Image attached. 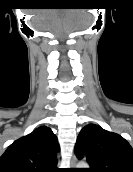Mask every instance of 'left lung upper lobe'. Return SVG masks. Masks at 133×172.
Wrapping results in <instances>:
<instances>
[{
	"mask_svg": "<svg viewBox=\"0 0 133 172\" xmlns=\"http://www.w3.org/2000/svg\"><path fill=\"white\" fill-rule=\"evenodd\" d=\"M75 153L86 156V172H133V148L122 136L99 125H86L79 133Z\"/></svg>",
	"mask_w": 133,
	"mask_h": 172,
	"instance_id": "left-lung-upper-lobe-1",
	"label": "left lung upper lobe"
}]
</instances>
